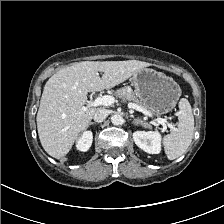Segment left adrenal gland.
I'll use <instances>...</instances> for the list:
<instances>
[{
	"label": "left adrenal gland",
	"instance_id": "left-adrenal-gland-1",
	"mask_svg": "<svg viewBox=\"0 0 224 224\" xmlns=\"http://www.w3.org/2000/svg\"><path fill=\"white\" fill-rule=\"evenodd\" d=\"M134 124H137V125H142L144 127H147V128H150L151 126L147 123V122H144L143 120L141 119H133V122Z\"/></svg>",
	"mask_w": 224,
	"mask_h": 224
}]
</instances>
